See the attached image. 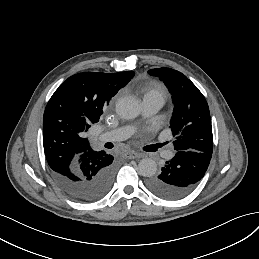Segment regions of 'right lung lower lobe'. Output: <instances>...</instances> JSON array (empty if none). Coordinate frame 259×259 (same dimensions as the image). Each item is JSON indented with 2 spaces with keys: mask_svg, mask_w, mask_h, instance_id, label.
<instances>
[{
  "mask_svg": "<svg viewBox=\"0 0 259 259\" xmlns=\"http://www.w3.org/2000/svg\"><path fill=\"white\" fill-rule=\"evenodd\" d=\"M113 159L105 151H94L68 172L52 171V175L57 185L72 199L93 202L105 196L111 188L115 175Z\"/></svg>",
  "mask_w": 259,
  "mask_h": 259,
  "instance_id": "1",
  "label": "right lung lower lobe"
}]
</instances>
